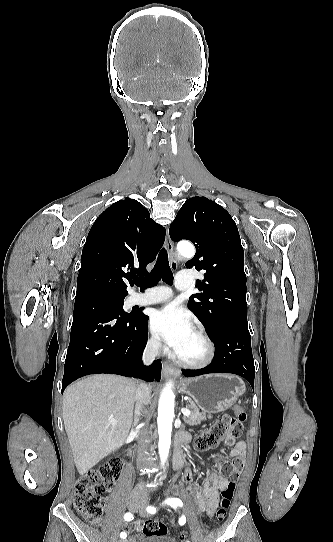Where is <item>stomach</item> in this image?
<instances>
[{
	"label": "stomach",
	"instance_id": "1",
	"mask_svg": "<svg viewBox=\"0 0 333 542\" xmlns=\"http://www.w3.org/2000/svg\"><path fill=\"white\" fill-rule=\"evenodd\" d=\"M180 392L187 394L201 410L225 412L236 404L245 392L243 380L232 374H206L181 380Z\"/></svg>",
	"mask_w": 333,
	"mask_h": 542
}]
</instances>
